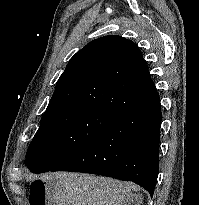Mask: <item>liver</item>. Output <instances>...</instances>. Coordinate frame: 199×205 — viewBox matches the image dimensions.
I'll return each instance as SVG.
<instances>
[{"instance_id": "6515ba94", "label": "liver", "mask_w": 199, "mask_h": 205, "mask_svg": "<svg viewBox=\"0 0 199 205\" xmlns=\"http://www.w3.org/2000/svg\"><path fill=\"white\" fill-rule=\"evenodd\" d=\"M44 180L52 181L54 205H130L139 204L130 186L120 181L78 173H51Z\"/></svg>"}]
</instances>
